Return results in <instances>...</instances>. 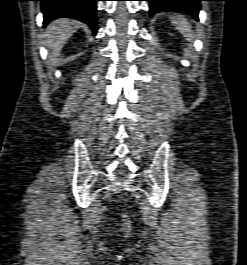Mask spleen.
I'll return each instance as SVG.
<instances>
[{"mask_svg":"<svg viewBox=\"0 0 247 265\" xmlns=\"http://www.w3.org/2000/svg\"><path fill=\"white\" fill-rule=\"evenodd\" d=\"M170 19H171V22L174 24V26L182 34L186 35L189 38V40L194 38L192 26L182 15H175L174 17H171Z\"/></svg>","mask_w":247,"mask_h":265,"instance_id":"1","label":"spleen"}]
</instances>
